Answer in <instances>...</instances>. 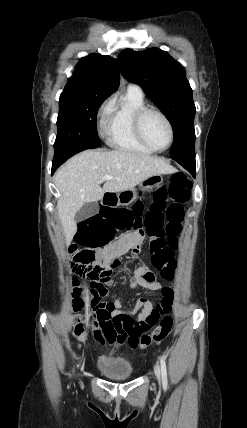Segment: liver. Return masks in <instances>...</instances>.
Segmentation results:
<instances>
[{"mask_svg": "<svg viewBox=\"0 0 247 428\" xmlns=\"http://www.w3.org/2000/svg\"><path fill=\"white\" fill-rule=\"evenodd\" d=\"M174 172L176 169L162 158L121 149L86 150L71 158L55 175L66 245L77 231L75 214L85 203L101 200L105 193L130 190L151 176ZM105 175L115 178L106 180L102 188Z\"/></svg>", "mask_w": 247, "mask_h": 428, "instance_id": "6515ba94", "label": "liver"}]
</instances>
